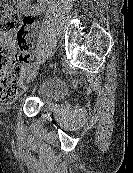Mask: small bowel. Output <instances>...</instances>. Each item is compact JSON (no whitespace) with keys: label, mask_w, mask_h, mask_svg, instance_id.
<instances>
[{"label":"small bowel","mask_w":133,"mask_h":173,"mask_svg":"<svg viewBox=\"0 0 133 173\" xmlns=\"http://www.w3.org/2000/svg\"><path fill=\"white\" fill-rule=\"evenodd\" d=\"M29 59H30V55H27V56L25 57L23 63H27V62L29 61Z\"/></svg>","instance_id":"c3829d8e"}]
</instances>
